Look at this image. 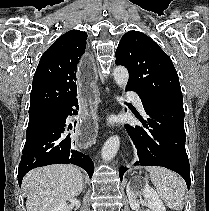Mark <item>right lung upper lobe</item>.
I'll return each mask as SVG.
<instances>
[{
	"mask_svg": "<svg viewBox=\"0 0 209 211\" xmlns=\"http://www.w3.org/2000/svg\"><path fill=\"white\" fill-rule=\"evenodd\" d=\"M87 33L71 30L42 55L33 77L29 112L56 109L76 98L77 66L86 48Z\"/></svg>",
	"mask_w": 209,
	"mask_h": 211,
	"instance_id": "1",
	"label": "right lung upper lobe"
}]
</instances>
